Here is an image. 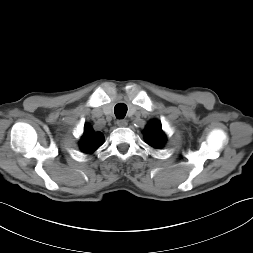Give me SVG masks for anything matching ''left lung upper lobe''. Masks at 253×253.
<instances>
[{"label": "left lung upper lobe", "instance_id": "left-lung-upper-lobe-1", "mask_svg": "<svg viewBox=\"0 0 253 253\" xmlns=\"http://www.w3.org/2000/svg\"><path fill=\"white\" fill-rule=\"evenodd\" d=\"M143 134L145 141L154 148H162L166 142V136L157 120H152L143 131Z\"/></svg>", "mask_w": 253, "mask_h": 253}]
</instances>
